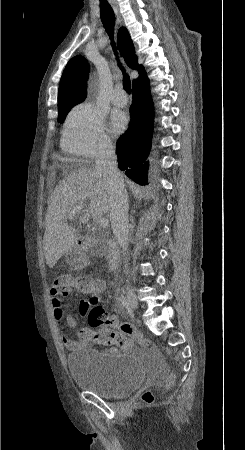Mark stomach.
I'll use <instances>...</instances> for the list:
<instances>
[{
    "instance_id": "0dacf381",
    "label": "stomach",
    "mask_w": 245,
    "mask_h": 450,
    "mask_svg": "<svg viewBox=\"0 0 245 450\" xmlns=\"http://www.w3.org/2000/svg\"><path fill=\"white\" fill-rule=\"evenodd\" d=\"M65 258L68 264L76 268L83 267L87 262L85 251L77 245L66 253Z\"/></svg>"
}]
</instances>
